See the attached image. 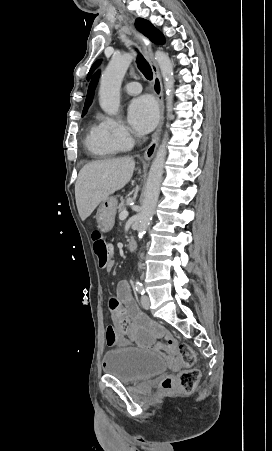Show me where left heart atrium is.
I'll return each instance as SVG.
<instances>
[{
	"mask_svg": "<svg viewBox=\"0 0 272 451\" xmlns=\"http://www.w3.org/2000/svg\"><path fill=\"white\" fill-rule=\"evenodd\" d=\"M156 119L157 107L152 98L141 97L130 105L128 120L137 133H146L151 130Z\"/></svg>",
	"mask_w": 272,
	"mask_h": 451,
	"instance_id": "39dd6f15",
	"label": "left heart atrium"
}]
</instances>
